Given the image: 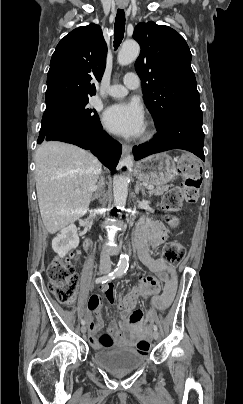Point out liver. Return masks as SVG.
I'll return each instance as SVG.
<instances>
[{"label":"liver","instance_id":"6515ba94","mask_svg":"<svg viewBox=\"0 0 243 404\" xmlns=\"http://www.w3.org/2000/svg\"><path fill=\"white\" fill-rule=\"evenodd\" d=\"M35 164L41 218L47 232L56 234L86 214L102 164L90 152L63 142L41 144Z\"/></svg>","mask_w":243,"mask_h":404}]
</instances>
